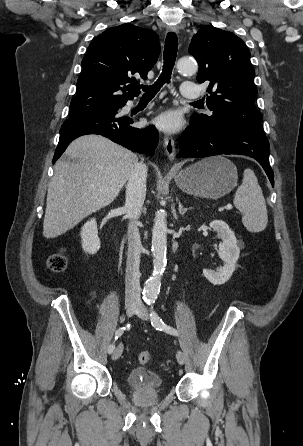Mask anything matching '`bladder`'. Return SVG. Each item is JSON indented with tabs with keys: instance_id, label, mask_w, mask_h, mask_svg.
<instances>
[{
	"instance_id": "obj_1",
	"label": "bladder",
	"mask_w": 303,
	"mask_h": 446,
	"mask_svg": "<svg viewBox=\"0 0 303 446\" xmlns=\"http://www.w3.org/2000/svg\"><path fill=\"white\" fill-rule=\"evenodd\" d=\"M126 384L135 390H160L163 386V379L152 370L137 367L128 372Z\"/></svg>"
}]
</instances>
